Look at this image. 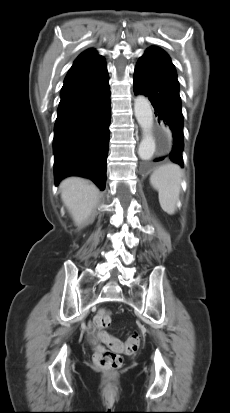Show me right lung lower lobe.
I'll return each mask as SVG.
<instances>
[{
    "instance_id": "obj_1",
    "label": "right lung lower lobe",
    "mask_w": 230,
    "mask_h": 413,
    "mask_svg": "<svg viewBox=\"0 0 230 413\" xmlns=\"http://www.w3.org/2000/svg\"><path fill=\"white\" fill-rule=\"evenodd\" d=\"M110 87L107 68L64 83L54 127V174L91 179L104 190L109 144Z\"/></svg>"
}]
</instances>
